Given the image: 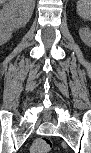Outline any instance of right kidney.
<instances>
[{"instance_id":"1","label":"right kidney","mask_w":91,"mask_h":153,"mask_svg":"<svg viewBox=\"0 0 91 153\" xmlns=\"http://www.w3.org/2000/svg\"><path fill=\"white\" fill-rule=\"evenodd\" d=\"M34 5L28 0H10L0 11V42L5 44L12 37V31L25 26L30 20Z\"/></svg>"}]
</instances>
